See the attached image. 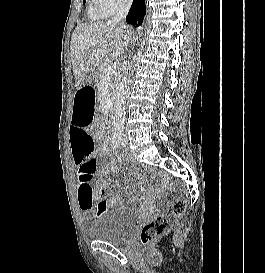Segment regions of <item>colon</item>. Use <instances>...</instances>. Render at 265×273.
<instances>
[{
  "label": "colon",
  "mask_w": 265,
  "mask_h": 273,
  "mask_svg": "<svg viewBox=\"0 0 265 273\" xmlns=\"http://www.w3.org/2000/svg\"><path fill=\"white\" fill-rule=\"evenodd\" d=\"M186 209V202L178 200L173 207L175 216H181ZM169 227V220L166 217H158L157 219L147 223L141 230L140 242L148 245L158 239Z\"/></svg>",
  "instance_id": "5ec220e1"
}]
</instances>
